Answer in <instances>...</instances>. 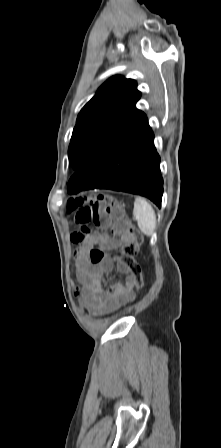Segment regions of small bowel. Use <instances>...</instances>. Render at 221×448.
Returning <instances> with one entry per match:
<instances>
[{
    "instance_id": "small-bowel-1",
    "label": "small bowel",
    "mask_w": 221,
    "mask_h": 448,
    "mask_svg": "<svg viewBox=\"0 0 221 448\" xmlns=\"http://www.w3.org/2000/svg\"><path fill=\"white\" fill-rule=\"evenodd\" d=\"M72 243L78 245L76 252V268L78 279L83 286V303L96 315H106L114 312L134 298V282L129 271L122 264H115L110 257H105L98 264H91L85 257L91 246L98 244L111 251L130 240L119 225L111 226V236L97 234L81 238L79 232L69 235ZM116 269L120 277L109 289H105V274Z\"/></svg>"
}]
</instances>
